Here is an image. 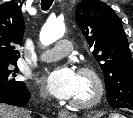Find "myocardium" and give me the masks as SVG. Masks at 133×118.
Here are the masks:
<instances>
[{
  "instance_id": "myocardium-1",
  "label": "myocardium",
  "mask_w": 133,
  "mask_h": 118,
  "mask_svg": "<svg viewBox=\"0 0 133 118\" xmlns=\"http://www.w3.org/2000/svg\"><path fill=\"white\" fill-rule=\"evenodd\" d=\"M79 75L87 78L91 85H92V94L91 96L86 100H72L70 102V105L76 109H90L94 106H96L104 95V85L103 81L98 74V72L88 66L81 67L78 71Z\"/></svg>"
}]
</instances>
